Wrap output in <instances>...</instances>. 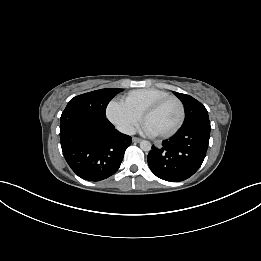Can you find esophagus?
Wrapping results in <instances>:
<instances>
[{"instance_id":"34e87169","label":"esophagus","mask_w":261,"mask_h":261,"mask_svg":"<svg viewBox=\"0 0 261 261\" xmlns=\"http://www.w3.org/2000/svg\"><path fill=\"white\" fill-rule=\"evenodd\" d=\"M132 141L135 143H139L141 141V139L138 137H132Z\"/></svg>"}]
</instances>
